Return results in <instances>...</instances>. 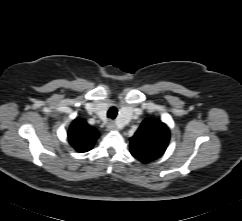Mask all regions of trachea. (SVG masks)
I'll return each mask as SVG.
<instances>
[{"label":"trachea","mask_w":242,"mask_h":221,"mask_svg":"<svg viewBox=\"0 0 242 221\" xmlns=\"http://www.w3.org/2000/svg\"><path fill=\"white\" fill-rule=\"evenodd\" d=\"M117 116V109L116 107H111L107 112V117L110 119H115Z\"/></svg>","instance_id":"trachea-1"}]
</instances>
